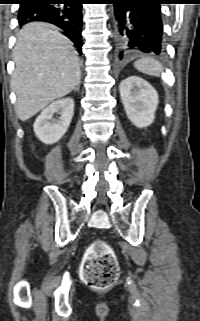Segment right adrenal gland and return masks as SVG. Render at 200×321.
<instances>
[{
    "label": "right adrenal gland",
    "mask_w": 200,
    "mask_h": 321,
    "mask_svg": "<svg viewBox=\"0 0 200 321\" xmlns=\"http://www.w3.org/2000/svg\"><path fill=\"white\" fill-rule=\"evenodd\" d=\"M75 92H79L80 91V83L79 85H77V87L74 89Z\"/></svg>",
    "instance_id": "1"
}]
</instances>
